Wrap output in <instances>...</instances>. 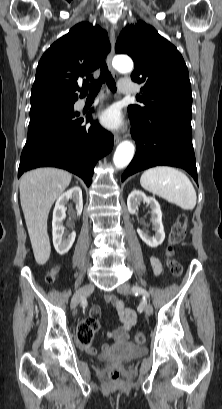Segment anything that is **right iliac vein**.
<instances>
[{"mask_svg": "<svg viewBox=\"0 0 222 409\" xmlns=\"http://www.w3.org/2000/svg\"><path fill=\"white\" fill-rule=\"evenodd\" d=\"M94 290V285L93 284H87L84 287L80 288L79 290L76 291V293L73 295L72 300H71V308L75 309L79 302L91 294Z\"/></svg>", "mask_w": 222, "mask_h": 409, "instance_id": "1", "label": "right iliac vein"}]
</instances>
